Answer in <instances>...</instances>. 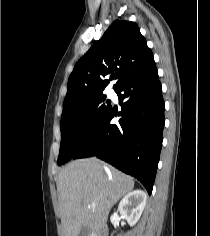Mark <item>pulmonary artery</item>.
<instances>
[{
    "instance_id": "1",
    "label": "pulmonary artery",
    "mask_w": 210,
    "mask_h": 236,
    "mask_svg": "<svg viewBox=\"0 0 210 236\" xmlns=\"http://www.w3.org/2000/svg\"><path fill=\"white\" fill-rule=\"evenodd\" d=\"M108 96H109V97H114V92H113L112 90H109V91H108Z\"/></svg>"
}]
</instances>
